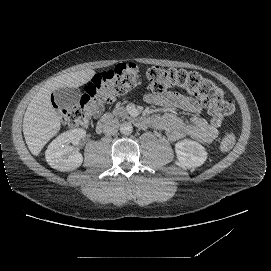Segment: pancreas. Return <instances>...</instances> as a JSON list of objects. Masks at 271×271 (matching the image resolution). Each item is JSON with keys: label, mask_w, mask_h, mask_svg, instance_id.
Returning <instances> with one entry per match:
<instances>
[{"label": "pancreas", "mask_w": 271, "mask_h": 271, "mask_svg": "<svg viewBox=\"0 0 271 271\" xmlns=\"http://www.w3.org/2000/svg\"><path fill=\"white\" fill-rule=\"evenodd\" d=\"M119 112L120 114L127 115L126 108L123 107H118L116 110L113 111V114L116 116H120Z\"/></svg>", "instance_id": "cf45deb5"}]
</instances>
